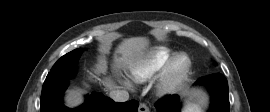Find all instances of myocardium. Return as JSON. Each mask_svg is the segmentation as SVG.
<instances>
[{"label": "myocardium", "mask_w": 270, "mask_h": 112, "mask_svg": "<svg viewBox=\"0 0 270 112\" xmlns=\"http://www.w3.org/2000/svg\"><path fill=\"white\" fill-rule=\"evenodd\" d=\"M184 58L182 68L176 67L179 59ZM192 68V59L186 52L174 53L162 67L155 79V91L159 95L172 92L187 77Z\"/></svg>", "instance_id": "1"}]
</instances>
